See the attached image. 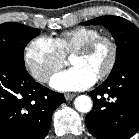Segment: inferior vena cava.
Masks as SVG:
<instances>
[{"label":"inferior vena cava","instance_id":"inferior-vena-cava-1","mask_svg":"<svg viewBox=\"0 0 139 139\" xmlns=\"http://www.w3.org/2000/svg\"><path fill=\"white\" fill-rule=\"evenodd\" d=\"M47 77H48V75H47V74H44V75H43V78H44V79H46Z\"/></svg>","mask_w":139,"mask_h":139}]
</instances>
